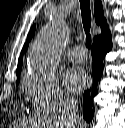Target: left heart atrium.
Segmentation results:
<instances>
[{"instance_id":"left-heart-atrium-1","label":"left heart atrium","mask_w":125,"mask_h":128,"mask_svg":"<svg viewBox=\"0 0 125 128\" xmlns=\"http://www.w3.org/2000/svg\"><path fill=\"white\" fill-rule=\"evenodd\" d=\"M65 85L72 92L81 91L87 84L86 73L79 69L74 68L67 72L65 75Z\"/></svg>"}]
</instances>
